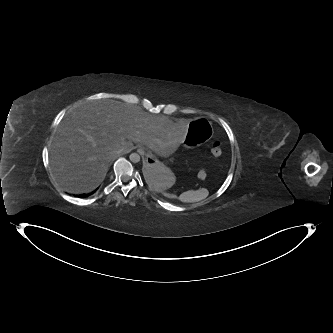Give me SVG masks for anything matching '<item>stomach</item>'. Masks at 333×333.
I'll return each instance as SVG.
<instances>
[{
	"mask_svg": "<svg viewBox=\"0 0 333 333\" xmlns=\"http://www.w3.org/2000/svg\"><path fill=\"white\" fill-rule=\"evenodd\" d=\"M213 134L214 129L211 122L200 118L191 123L188 135L182 143L186 148H194L209 141ZM144 175L147 185L158 193H165L178 183L176 171L167 164L155 161L153 157H149V162L144 166Z\"/></svg>",
	"mask_w": 333,
	"mask_h": 333,
	"instance_id": "obj_1",
	"label": "stomach"
}]
</instances>
